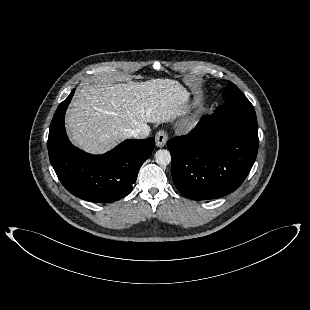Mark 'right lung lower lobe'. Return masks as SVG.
<instances>
[{
    "label": "right lung lower lobe",
    "mask_w": 310,
    "mask_h": 310,
    "mask_svg": "<svg viewBox=\"0 0 310 310\" xmlns=\"http://www.w3.org/2000/svg\"><path fill=\"white\" fill-rule=\"evenodd\" d=\"M74 94L58 106L51 122L48 153L63 186L91 202L110 203L133 188L140 167L155 147V139L125 140L103 155H91L74 147L65 131L64 116Z\"/></svg>",
    "instance_id": "98d812e1"
}]
</instances>
